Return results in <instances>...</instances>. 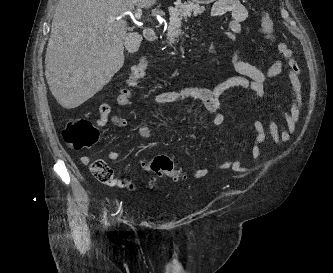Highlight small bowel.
Returning <instances> with one entry per match:
<instances>
[{
    "instance_id": "small-bowel-1",
    "label": "small bowel",
    "mask_w": 333,
    "mask_h": 273,
    "mask_svg": "<svg viewBox=\"0 0 333 273\" xmlns=\"http://www.w3.org/2000/svg\"><path fill=\"white\" fill-rule=\"evenodd\" d=\"M225 14H230L232 19L225 24L222 34L231 46L230 63L237 75L226 79L212 89L190 86L179 90L159 92L151 97L148 105H176L180 111L192 117L199 118L195 109L180 105V103L185 100L196 99L201 101L205 109L211 114L212 123L216 126H220L225 121L221 108L223 106V95L226 92L232 89H242L254 93L257 97H264L266 93L264 88L265 84L278 77L286 66L291 102L289 107L284 109L281 124L273 119H267L266 126L268 134L276 145L288 142L296 130L303 109V96L300 82L301 70L294 59V53L286 42L280 41L276 44V50L282 56L283 60L274 61L266 70H262L242 60L236 48V35L243 31V23L248 18L247 9L240 0H217L212 7V15L220 17ZM148 67L149 64L145 60L134 62V66L129 70L127 84H124L123 88H119L116 95V101L120 106H128L131 103L130 91L135 90L138 78L146 76V69H148ZM237 98L241 99L240 97ZM110 110V100H102L96 112V122L99 125L102 126L109 122V118H113L112 121L115 126L120 128L129 126V122L126 119L115 117V111ZM252 125L256 132V138L250 148V152L253 159L259 161L262 158L260 145L266 140L267 131L265 124L259 119H254ZM138 133L144 139H148L151 136L148 126L143 121H141L138 126ZM119 157L120 154L117 151H110L108 153V159L110 161H117ZM80 160L84 165L91 163V158L87 155L82 156ZM144 167L147 169L146 165ZM214 169L234 171L250 170V168L243 166L242 157L228 159L215 165ZM207 173L208 168L206 167L190 171V175L194 178L204 177ZM162 175L163 174H156V176L146 180L142 185H135L124 181L116 182L114 186L130 191L140 190L142 188L150 189L160 183Z\"/></svg>"
}]
</instances>
